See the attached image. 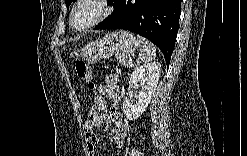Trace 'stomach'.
Returning a JSON list of instances; mask_svg holds the SVG:
<instances>
[{"instance_id": "obj_1", "label": "stomach", "mask_w": 247, "mask_h": 156, "mask_svg": "<svg viewBox=\"0 0 247 156\" xmlns=\"http://www.w3.org/2000/svg\"><path fill=\"white\" fill-rule=\"evenodd\" d=\"M139 47L133 33L118 30L108 33L95 42L87 44L81 52V57L89 64H95L114 53L129 55Z\"/></svg>"}]
</instances>
